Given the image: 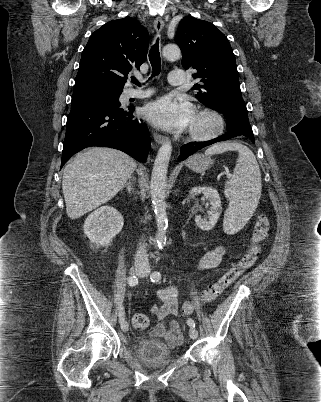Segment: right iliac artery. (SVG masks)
I'll return each mask as SVG.
<instances>
[{
	"label": "right iliac artery",
	"mask_w": 321,
	"mask_h": 402,
	"mask_svg": "<svg viewBox=\"0 0 321 402\" xmlns=\"http://www.w3.org/2000/svg\"><path fill=\"white\" fill-rule=\"evenodd\" d=\"M128 284L130 286H135L138 284V278L136 276H130L128 278ZM125 320V312L122 304L119 306V322L122 323Z\"/></svg>",
	"instance_id": "obj_1"
}]
</instances>
